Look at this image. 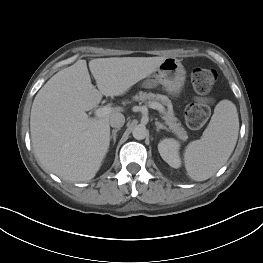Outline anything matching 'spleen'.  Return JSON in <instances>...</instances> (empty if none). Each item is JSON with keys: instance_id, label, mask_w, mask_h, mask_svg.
Listing matches in <instances>:
<instances>
[{"instance_id": "1", "label": "spleen", "mask_w": 263, "mask_h": 263, "mask_svg": "<svg viewBox=\"0 0 263 263\" xmlns=\"http://www.w3.org/2000/svg\"><path fill=\"white\" fill-rule=\"evenodd\" d=\"M239 119L236 106L220 101L200 140L192 141L184 153L188 175L204 181L214 175L231 155L238 138Z\"/></svg>"}]
</instances>
